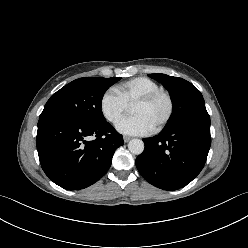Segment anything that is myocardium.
<instances>
[{"label": "myocardium", "mask_w": 248, "mask_h": 248, "mask_svg": "<svg viewBox=\"0 0 248 248\" xmlns=\"http://www.w3.org/2000/svg\"><path fill=\"white\" fill-rule=\"evenodd\" d=\"M160 97H164L167 100L168 103V110L167 113L165 115V117L163 118V120L153 128L154 132H158L160 130H162L171 120L173 112H174V102H173V98L171 96V94L165 90L159 89L156 90L152 93H149L141 98H139L134 105H146V104H150L152 102H154L155 100H157Z\"/></svg>", "instance_id": "f54148a6"}]
</instances>
